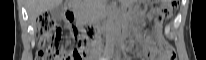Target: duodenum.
Instances as JSON below:
<instances>
[{
    "label": "duodenum",
    "mask_w": 206,
    "mask_h": 60,
    "mask_svg": "<svg viewBox=\"0 0 206 60\" xmlns=\"http://www.w3.org/2000/svg\"><path fill=\"white\" fill-rule=\"evenodd\" d=\"M65 19L67 22L72 24V28H85L88 34H94L96 37H104L105 33L101 32L100 30L96 29L92 24H85L82 23V20L78 18L76 12V5L75 3H69L65 8ZM125 29L124 25H119L117 29L113 30L114 34H117L119 38L122 37L123 30ZM106 33H111V30H106Z\"/></svg>",
    "instance_id": "1"
}]
</instances>
